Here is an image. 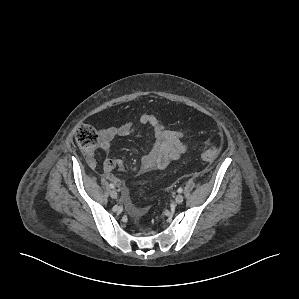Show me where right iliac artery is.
<instances>
[{"mask_svg":"<svg viewBox=\"0 0 299 299\" xmlns=\"http://www.w3.org/2000/svg\"><path fill=\"white\" fill-rule=\"evenodd\" d=\"M109 187L113 189L115 186H114V184L110 183Z\"/></svg>","mask_w":299,"mask_h":299,"instance_id":"obj_1","label":"right iliac artery"}]
</instances>
